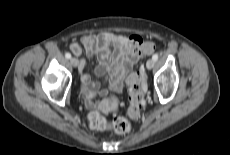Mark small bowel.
<instances>
[{"instance_id": "c3829d8e", "label": "small bowel", "mask_w": 230, "mask_h": 155, "mask_svg": "<svg viewBox=\"0 0 230 155\" xmlns=\"http://www.w3.org/2000/svg\"><path fill=\"white\" fill-rule=\"evenodd\" d=\"M135 39L138 37L103 32L86 35L81 38V44L73 42L70 45L71 52L78 58L83 93L89 108L98 109L104 113L113 111L109 106L110 99L96 100V96L105 94V90H100L99 84L83 72L86 65L83 49L89 57H96L98 60L95 69L96 76L106 77L108 88L120 92L123 88L124 76L137 63L141 55L134 45Z\"/></svg>"}]
</instances>
